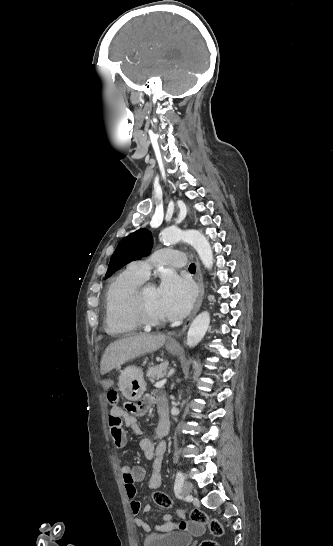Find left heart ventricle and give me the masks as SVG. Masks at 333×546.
Listing matches in <instances>:
<instances>
[{
  "instance_id": "1",
  "label": "left heart ventricle",
  "mask_w": 333,
  "mask_h": 546,
  "mask_svg": "<svg viewBox=\"0 0 333 546\" xmlns=\"http://www.w3.org/2000/svg\"><path fill=\"white\" fill-rule=\"evenodd\" d=\"M143 306L146 312L158 319H164L158 300L157 289L154 286H149L145 289L143 293Z\"/></svg>"
}]
</instances>
